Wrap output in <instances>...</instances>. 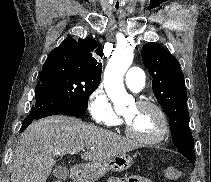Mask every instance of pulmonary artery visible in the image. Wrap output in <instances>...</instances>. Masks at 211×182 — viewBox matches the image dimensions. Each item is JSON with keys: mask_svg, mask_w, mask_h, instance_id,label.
Returning <instances> with one entry per match:
<instances>
[{"mask_svg": "<svg viewBox=\"0 0 211 182\" xmlns=\"http://www.w3.org/2000/svg\"><path fill=\"white\" fill-rule=\"evenodd\" d=\"M125 83L133 92H140L145 84L144 72L137 67L130 68L125 75Z\"/></svg>", "mask_w": 211, "mask_h": 182, "instance_id": "pulmonary-artery-1", "label": "pulmonary artery"}]
</instances>
